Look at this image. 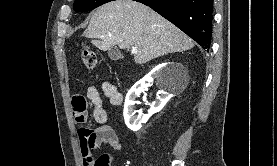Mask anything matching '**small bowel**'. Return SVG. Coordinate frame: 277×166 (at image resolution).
Segmentation results:
<instances>
[{"instance_id": "1", "label": "small bowel", "mask_w": 277, "mask_h": 166, "mask_svg": "<svg viewBox=\"0 0 277 166\" xmlns=\"http://www.w3.org/2000/svg\"><path fill=\"white\" fill-rule=\"evenodd\" d=\"M102 93L109 98L111 104L120 105L122 95L116 87L109 82H103L101 85ZM92 108L93 118L99 124L96 129L81 128L79 129V147L83 157L84 166H110L114 156L104 153L97 159L92 157V151L102 144H109L114 151H120L123 147L122 142L116 131L107 124V113L103 107V101L99 90L94 86H89L86 96L74 95L72 98V111L77 123L83 124L88 117V107Z\"/></svg>"}]
</instances>
